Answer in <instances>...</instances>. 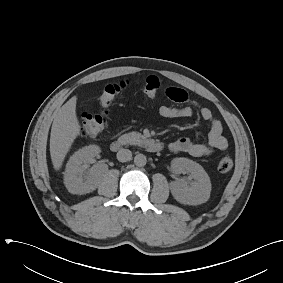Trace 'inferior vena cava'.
Instances as JSON below:
<instances>
[{"label": "inferior vena cava", "instance_id": "obj_1", "mask_svg": "<svg viewBox=\"0 0 283 283\" xmlns=\"http://www.w3.org/2000/svg\"><path fill=\"white\" fill-rule=\"evenodd\" d=\"M117 159L120 162H127L132 159V152L129 149H120L117 152Z\"/></svg>", "mask_w": 283, "mask_h": 283}]
</instances>
